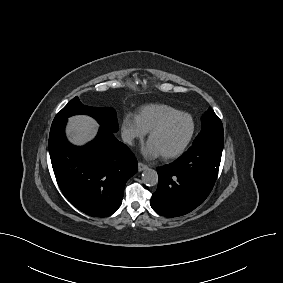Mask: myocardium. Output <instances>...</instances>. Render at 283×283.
I'll list each match as a JSON object with an SVG mask.
<instances>
[{
  "instance_id": "f54148a6",
  "label": "myocardium",
  "mask_w": 283,
  "mask_h": 283,
  "mask_svg": "<svg viewBox=\"0 0 283 283\" xmlns=\"http://www.w3.org/2000/svg\"><path fill=\"white\" fill-rule=\"evenodd\" d=\"M177 116H186L189 118L190 122H191V129L190 132L187 136V138L185 139V141L174 151L169 152V153H164L161 154V156L164 159H173V158H177L180 155H182L185 150L188 148L189 144L191 143L194 134H195V130H196V123L195 120L193 118V116L188 113V112H184V111H176L173 113H170L168 115H166L165 117H163L161 120H159L150 130H149V135L148 138L150 140V138L159 130H161L171 119L177 117Z\"/></svg>"
}]
</instances>
